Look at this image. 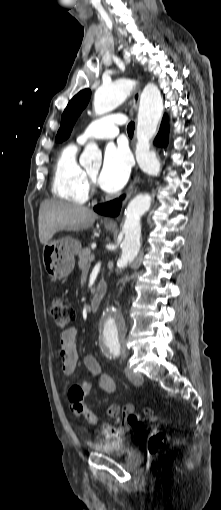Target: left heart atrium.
Listing matches in <instances>:
<instances>
[{"label":"left heart atrium","instance_id":"1","mask_svg":"<svg viewBox=\"0 0 221 510\" xmlns=\"http://www.w3.org/2000/svg\"><path fill=\"white\" fill-rule=\"evenodd\" d=\"M130 170L131 157L128 150L122 145H109L105 150L98 183L108 192L118 191L127 182Z\"/></svg>","mask_w":221,"mask_h":510}]
</instances>
